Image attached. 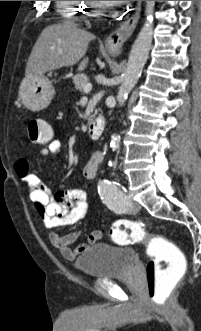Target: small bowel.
Instances as JSON below:
<instances>
[{
  "label": "small bowel",
  "instance_id": "small-bowel-1",
  "mask_svg": "<svg viewBox=\"0 0 201 331\" xmlns=\"http://www.w3.org/2000/svg\"><path fill=\"white\" fill-rule=\"evenodd\" d=\"M62 150V143L59 140H52L46 148L40 151V154L57 156L62 153ZM102 160L103 153L96 151L84 166V177L87 179L93 178ZM15 172L20 180L28 186L30 198L45 227L54 229L74 225L86 215L88 203L86 191L83 187L61 190L52 195L49 188L43 184L37 175L30 171L29 162L24 158L15 162ZM78 237L79 232L66 235L55 232L50 234L53 246L68 260H74L85 252L91 245L101 239L102 234L100 231H94L86 242L74 248L71 247Z\"/></svg>",
  "mask_w": 201,
  "mask_h": 331
}]
</instances>
